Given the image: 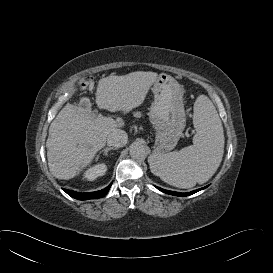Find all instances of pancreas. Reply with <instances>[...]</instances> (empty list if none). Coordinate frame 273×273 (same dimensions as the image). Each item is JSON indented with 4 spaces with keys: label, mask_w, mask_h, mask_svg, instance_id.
<instances>
[{
    "label": "pancreas",
    "mask_w": 273,
    "mask_h": 273,
    "mask_svg": "<svg viewBox=\"0 0 273 273\" xmlns=\"http://www.w3.org/2000/svg\"><path fill=\"white\" fill-rule=\"evenodd\" d=\"M134 116H135V117H140V116H141V113H140V112H135V113H134Z\"/></svg>",
    "instance_id": "cf45deb5"
}]
</instances>
